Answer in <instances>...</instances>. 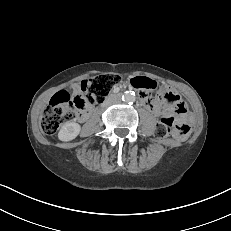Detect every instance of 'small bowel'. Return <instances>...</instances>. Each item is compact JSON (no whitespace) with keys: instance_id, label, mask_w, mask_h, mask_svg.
Masks as SVG:
<instances>
[{"instance_id":"small-bowel-1","label":"small bowel","mask_w":231,"mask_h":231,"mask_svg":"<svg viewBox=\"0 0 231 231\" xmlns=\"http://www.w3.org/2000/svg\"><path fill=\"white\" fill-rule=\"evenodd\" d=\"M150 79V78H148ZM152 80V79H150ZM153 81V80H152ZM74 91L76 93H80L79 87L78 85L74 86ZM165 92L169 93L174 99L176 103L180 102V97L179 95L172 89H167ZM143 99L146 100L145 105L147 106V108H149L155 115H161V114H169L171 112V106L170 105H162L159 101L157 100H152L149 98L148 95H142ZM86 117V114L83 113L81 114V119H84Z\"/></svg>"}]
</instances>
